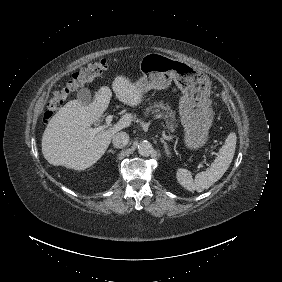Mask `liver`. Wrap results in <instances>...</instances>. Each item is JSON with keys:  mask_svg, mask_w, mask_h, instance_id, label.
Wrapping results in <instances>:
<instances>
[{"mask_svg": "<svg viewBox=\"0 0 282 282\" xmlns=\"http://www.w3.org/2000/svg\"><path fill=\"white\" fill-rule=\"evenodd\" d=\"M112 89L116 97L129 106L142 101L141 91L124 76H117ZM112 92L102 86L88 105L78 100L67 102L51 118L42 136L44 158L54 166L85 170L96 163L108 148L113 136L130 126L133 115L125 114L111 128L94 133L91 125L98 122L108 108Z\"/></svg>", "mask_w": 282, "mask_h": 282, "instance_id": "6515ba94", "label": "liver"}]
</instances>
